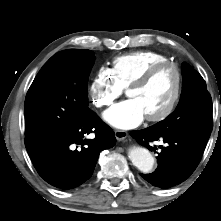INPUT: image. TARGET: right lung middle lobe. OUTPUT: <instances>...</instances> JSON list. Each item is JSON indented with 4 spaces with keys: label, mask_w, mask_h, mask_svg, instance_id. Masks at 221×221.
Instances as JSON below:
<instances>
[{
    "label": "right lung middle lobe",
    "mask_w": 221,
    "mask_h": 221,
    "mask_svg": "<svg viewBox=\"0 0 221 221\" xmlns=\"http://www.w3.org/2000/svg\"><path fill=\"white\" fill-rule=\"evenodd\" d=\"M94 52L56 53L41 68L25 99L26 138L74 131L91 113L87 84Z\"/></svg>",
    "instance_id": "obj_1"
}]
</instances>
